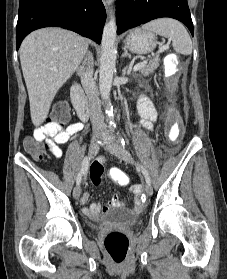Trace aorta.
<instances>
[{
  "label": "aorta",
  "mask_w": 227,
  "mask_h": 279,
  "mask_svg": "<svg viewBox=\"0 0 227 279\" xmlns=\"http://www.w3.org/2000/svg\"><path fill=\"white\" fill-rule=\"evenodd\" d=\"M116 21L114 12H111L110 20L105 24L102 41L99 70V90L102 99L106 102V113L110 120L113 119V108L110 102V91L113 74L116 67Z\"/></svg>",
  "instance_id": "aorta-1"
}]
</instances>
